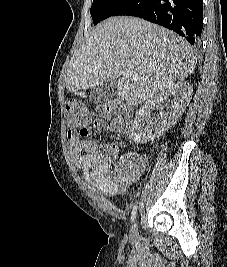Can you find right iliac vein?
<instances>
[{"label": "right iliac vein", "mask_w": 227, "mask_h": 267, "mask_svg": "<svg viewBox=\"0 0 227 267\" xmlns=\"http://www.w3.org/2000/svg\"><path fill=\"white\" fill-rule=\"evenodd\" d=\"M138 236V225H137V222H135L131 228V231H130V237L132 239L136 238Z\"/></svg>", "instance_id": "obj_1"}]
</instances>
